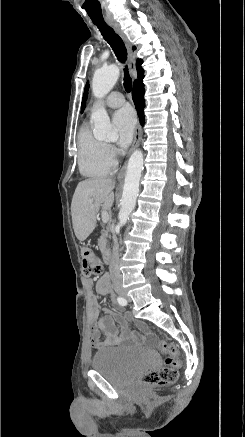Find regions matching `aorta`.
Masks as SVG:
<instances>
[{"label": "aorta", "mask_w": 245, "mask_h": 437, "mask_svg": "<svg viewBox=\"0 0 245 437\" xmlns=\"http://www.w3.org/2000/svg\"><path fill=\"white\" fill-rule=\"evenodd\" d=\"M119 78V68L111 65L106 68L98 69L92 79V91L95 97L103 98L107 95ZM94 122V136L99 140H117L118 132L112 127L110 118L104 108H99L92 113ZM143 153L136 150L132 153L126 170L121 208L118 219L119 225L127 223L129 215L135 208L136 199L139 193V182L143 170Z\"/></svg>", "instance_id": "aorta-1"}]
</instances>
